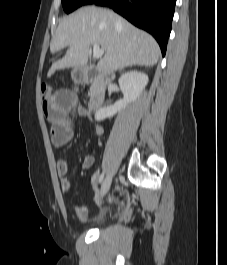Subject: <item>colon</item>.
Wrapping results in <instances>:
<instances>
[{
    "instance_id": "5ec220e1",
    "label": "colon",
    "mask_w": 227,
    "mask_h": 265,
    "mask_svg": "<svg viewBox=\"0 0 227 265\" xmlns=\"http://www.w3.org/2000/svg\"><path fill=\"white\" fill-rule=\"evenodd\" d=\"M56 94L53 91V88L49 85H42L41 87V97L42 102H51V99H54Z\"/></svg>"
}]
</instances>
